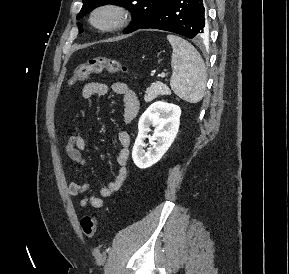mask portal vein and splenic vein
Masks as SVG:
<instances>
[{"instance_id": "18ae733b", "label": "portal vein and splenic vein", "mask_w": 289, "mask_h": 274, "mask_svg": "<svg viewBox=\"0 0 289 274\" xmlns=\"http://www.w3.org/2000/svg\"><path fill=\"white\" fill-rule=\"evenodd\" d=\"M159 76H160L161 78H165V77H166V74H165V73H161Z\"/></svg>"}]
</instances>
